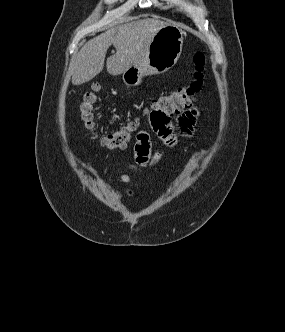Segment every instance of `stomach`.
Here are the masks:
<instances>
[{"instance_id": "1", "label": "stomach", "mask_w": 285, "mask_h": 332, "mask_svg": "<svg viewBox=\"0 0 285 332\" xmlns=\"http://www.w3.org/2000/svg\"><path fill=\"white\" fill-rule=\"evenodd\" d=\"M183 36L184 32L175 25L161 28L153 37L144 60L123 73L125 85L138 86L144 76L162 74L171 69L181 55Z\"/></svg>"}]
</instances>
